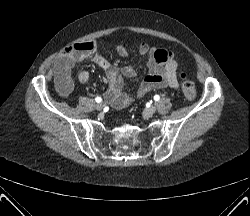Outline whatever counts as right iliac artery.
Masks as SVG:
<instances>
[{
  "label": "right iliac artery",
  "instance_id": "82829eb1",
  "mask_svg": "<svg viewBox=\"0 0 250 216\" xmlns=\"http://www.w3.org/2000/svg\"><path fill=\"white\" fill-rule=\"evenodd\" d=\"M95 101H96L97 103H100V102L102 101V99H101V97H96V98H95Z\"/></svg>",
  "mask_w": 250,
  "mask_h": 216
}]
</instances>
